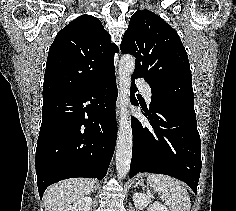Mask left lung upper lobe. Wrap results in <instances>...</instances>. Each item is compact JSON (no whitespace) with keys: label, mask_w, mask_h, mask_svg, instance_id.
Returning <instances> with one entry per match:
<instances>
[{"label":"left lung upper lobe","mask_w":236,"mask_h":211,"mask_svg":"<svg viewBox=\"0 0 236 211\" xmlns=\"http://www.w3.org/2000/svg\"><path fill=\"white\" fill-rule=\"evenodd\" d=\"M120 48L136 57L133 76L144 77L158 100L195 112L187 53L177 32L163 19L149 10L137 11Z\"/></svg>","instance_id":"obj_1"}]
</instances>
